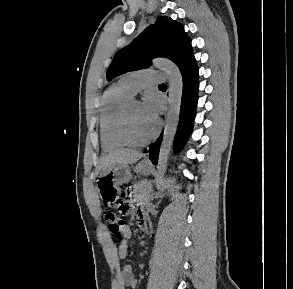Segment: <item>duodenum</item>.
Listing matches in <instances>:
<instances>
[{"instance_id": "410a0bca", "label": "duodenum", "mask_w": 293, "mask_h": 289, "mask_svg": "<svg viewBox=\"0 0 293 289\" xmlns=\"http://www.w3.org/2000/svg\"><path fill=\"white\" fill-rule=\"evenodd\" d=\"M141 226H142L143 230H146V231L148 230V224L145 220L142 221Z\"/></svg>"}]
</instances>
